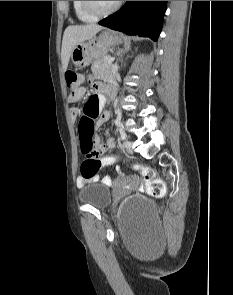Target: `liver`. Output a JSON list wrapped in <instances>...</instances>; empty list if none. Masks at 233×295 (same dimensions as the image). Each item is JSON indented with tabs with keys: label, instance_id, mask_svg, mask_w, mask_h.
Returning <instances> with one entry per match:
<instances>
[{
	"label": "liver",
	"instance_id": "6515ba94",
	"mask_svg": "<svg viewBox=\"0 0 233 295\" xmlns=\"http://www.w3.org/2000/svg\"><path fill=\"white\" fill-rule=\"evenodd\" d=\"M102 29L103 27L97 24L72 25L65 29L61 52L62 67L64 72L67 70L71 52L74 47L77 44L92 38Z\"/></svg>",
	"mask_w": 233,
	"mask_h": 295
}]
</instances>
